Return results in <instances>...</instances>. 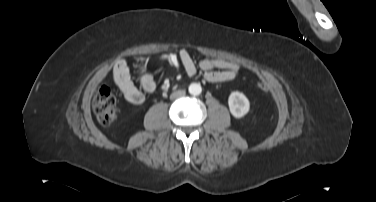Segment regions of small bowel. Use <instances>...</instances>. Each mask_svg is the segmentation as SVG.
<instances>
[{
	"label": "small bowel",
	"instance_id": "small-bowel-1",
	"mask_svg": "<svg viewBox=\"0 0 376 202\" xmlns=\"http://www.w3.org/2000/svg\"><path fill=\"white\" fill-rule=\"evenodd\" d=\"M175 62H180L189 76L196 75L197 66L187 49H181L178 52ZM199 68L204 72L206 81L217 83L235 79L240 70V65L223 58H204L199 62ZM112 73L115 84L122 92L125 100L132 105L142 104L145 100L144 92L150 93L156 88L153 76L145 71L139 75L141 89L138 88L132 81L128 63L123 59L114 64Z\"/></svg>",
	"mask_w": 376,
	"mask_h": 202
}]
</instances>
